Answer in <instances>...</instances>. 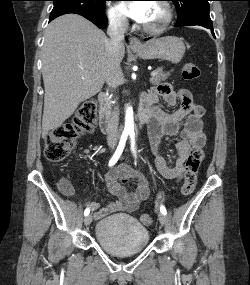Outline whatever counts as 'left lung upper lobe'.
Listing matches in <instances>:
<instances>
[{
  "label": "left lung upper lobe",
  "mask_w": 250,
  "mask_h": 285,
  "mask_svg": "<svg viewBox=\"0 0 250 285\" xmlns=\"http://www.w3.org/2000/svg\"><path fill=\"white\" fill-rule=\"evenodd\" d=\"M178 12L177 26H188L195 23L212 25L209 15L210 0H170Z\"/></svg>",
  "instance_id": "5c2ea615"
}]
</instances>
